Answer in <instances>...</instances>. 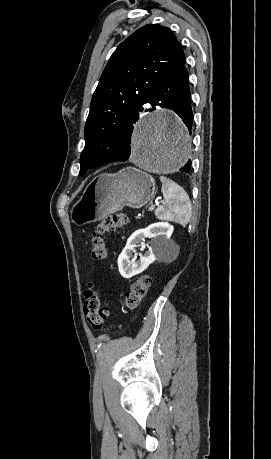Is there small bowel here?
<instances>
[{
	"mask_svg": "<svg viewBox=\"0 0 271 459\" xmlns=\"http://www.w3.org/2000/svg\"><path fill=\"white\" fill-rule=\"evenodd\" d=\"M95 293V290H94V285L92 282H89L87 284V289L84 291V298L85 299H88L92 294Z\"/></svg>",
	"mask_w": 271,
	"mask_h": 459,
	"instance_id": "small-bowel-1",
	"label": "small bowel"
}]
</instances>
